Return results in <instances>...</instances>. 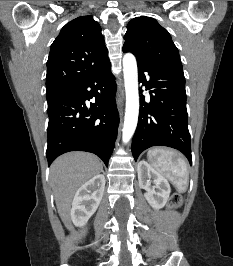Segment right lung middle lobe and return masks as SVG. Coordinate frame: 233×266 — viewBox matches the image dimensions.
Here are the masks:
<instances>
[{"label": "right lung middle lobe", "instance_id": "obj_1", "mask_svg": "<svg viewBox=\"0 0 233 266\" xmlns=\"http://www.w3.org/2000/svg\"><path fill=\"white\" fill-rule=\"evenodd\" d=\"M65 91H56V92H50L47 93V101L50 102L56 98H58L59 96H61L62 94H64Z\"/></svg>", "mask_w": 233, "mask_h": 266}]
</instances>
